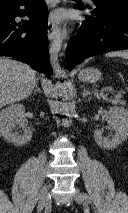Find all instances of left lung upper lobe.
<instances>
[{
  "instance_id": "5c2ea615",
  "label": "left lung upper lobe",
  "mask_w": 128,
  "mask_h": 213,
  "mask_svg": "<svg viewBox=\"0 0 128 213\" xmlns=\"http://www.w3.org/2000/svg\"><path fill=\"white\" fill-rule=\"evenodd\" d=\"M95 6L99 9H102L106 6L113 4H126L128 5V0H92Z\"/></svg>"
}]
</instances>
